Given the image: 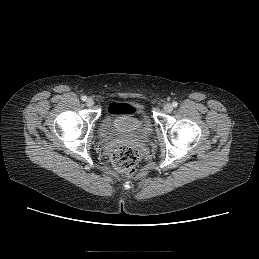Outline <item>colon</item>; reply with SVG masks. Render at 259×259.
<instances>
[{
  "label": "colon",
  "mask_w": 259,
  "mask_h": 259,
  "mask_svg": "<svg viewBox=\"0 0 259 259\" xmlns=\"http://www.w3.org/2000/svg\"><path fill=\"white\" fill-rule=\"evenodd\" d=\"M139 159V150L128 144L118 146L111 155L114 168L126 176H133L136 173Z\"/></svg>",
  "instance_id": "5ec220e1"
}]
</instances>
